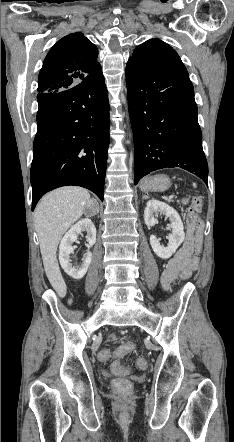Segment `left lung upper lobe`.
Segmentation results:
<instances>
[{
	"mask_svg": "<svg viewBox=\"0 0 234 442\" xmlns=\"http://www.w3.org/2000/svg\"><path fill=\"white\" fill-rule=\"evenodd\" d=\"M152 64H182L175 50L159 39L148 40L139 45L132 57Z\"/></svg>",
	"mask_w": 234,
	"mask_h": 442,
	"instance_id": "obj_1",
	"label": "left lung upper lobe"
}]
</instances>
